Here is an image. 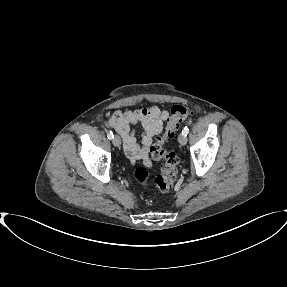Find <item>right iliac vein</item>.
<instances>
[{
	"instance_id": "63e3f726",
	"label": "right iliac vein",
	"mask_w": 287,
	"mask_h": 287,
	"mask_svg": "<svg viewBox=\"0 0 287 287\" xmlns=\"http://www.w3.org/2000/svg\"><path fill=\"white\" fill-rule=\"evenodd\" d=\"M112 143L114 146L119 147L121 145V139L118 135H115L112 139Z\"/></svg>"
}]
</instances>
